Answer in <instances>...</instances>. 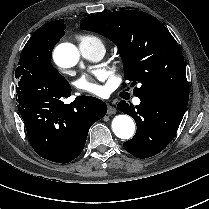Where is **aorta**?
<instances>
[{
    "mask_svg": "<svg viewBox=\"0 0 209 209\" xmlns=\"http://www.w3.org/2000/svg\"><path fill=\"white\" fill-rule=\"evenodd\" d=\"M55 63L63 68L75 66L79 61V52L77 48L70 43H62L54 50ZM112 130L114 134L121 139H130L135 132V123L133 119L125 114L114 117L112 121Z\"/></svg>",
    "mask_w": 209,
    "mask_h": 209,
    "instance_id": "obj_1",
    "label": "aorta"
}]
</instances>
